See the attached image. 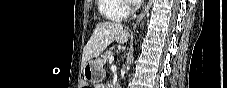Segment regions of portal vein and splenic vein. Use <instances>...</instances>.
I'll use <instances>...</instances> for the list:
<instances>
[{
	"label": "portal vein and splenic vein",
	"mask_w": 227,
	"mask_h": 88,
	"mask_svg": "<svg viewBox=\"0 0 227 88\" xmlns=\"http://www.w3.org/2000/svg\"><path fill=\"white\" fill-rule=\"evenodd\" d=\"M113 61H114V56H111V57L109 58V63H113Z\"/></svg>",
	"instance_id": "portal-vein-and-splenic-vein-1"
}]
</instances>
